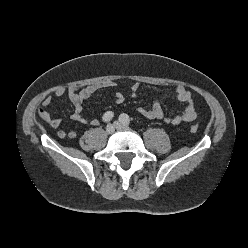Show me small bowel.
<instances>
[{
	"mask_svg": "<svg viewBox=\"0 0 248 248\" xmlns=\"http://www.w3.org/2000/svg\"><path fill=\"white\" fill-rule=\"evenodd\" d=\"M115 85L116 83L114 81H106L103 83L91 84L87 86L75 85L70 87H60L54 92V97L58 99L63 96H67L74 108L71 119L80 124H86L88 123V120L82 114L83 102L97 90L105 87H113ZM139 89L140 84L134 83L129 90V96L131 98L137 97ZM174 93L179 102L186 104V107L181 114L166 116L163 112L161 104L158 101H154L152 107L149 109L138 107L137 112L147 119L163 120L164 122L171 125H180L181 123L191 122L195 120V118L197 117V111L191 91L184 86L177 85L174 87ZM114 99L117 104H121L124 102L125 96L121 92H116L114 95ZM52 101V96H47L43 100L41 107L38 108V116L52 129H57L61 125V119L54 117L50 112L49 106L51 105ZM89 123L92 126H97L99 124V121L97 119H91ZM57 135L59 138L62 139L66 137L74 139L76 138L77 133L73 130H59L57 132Z\"/></svg>",
	"mask_w": 248,
	"mask_h": 248,
	"instance_id": "obj_1",
	"label": "small bowel"
}]
</instances>
